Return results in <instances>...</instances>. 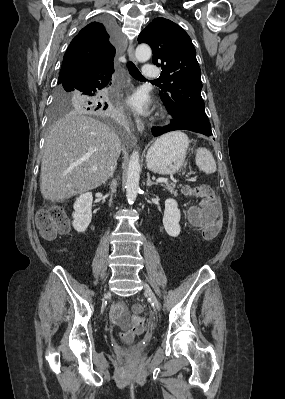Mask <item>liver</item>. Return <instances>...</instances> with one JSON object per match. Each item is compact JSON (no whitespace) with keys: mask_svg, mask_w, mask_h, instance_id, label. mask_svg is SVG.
<instances>
[{"mask_svg":"<svg viewBox=\"0 0 285 399\" xmlns=\"http://www.w3.org/2000/svg\"><path fill=\"white\" fill-rule=\"evenodd\" d=\"M120 153V139L109 126L81 112H70L51 127L46 138L42 197L59 202L99 187L107 181Z\"/></svg>","mask_w":285,"mask_h":399,"instance_id":"6515ba94","label":"liver"}]
</instances>
